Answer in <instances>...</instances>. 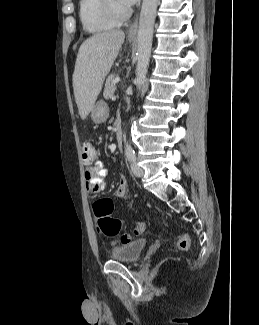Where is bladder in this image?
<instances>
[{
	"mask_svg": "<svg viewBox=\"0 0 259 325\" xmlns=\"http://www.w3.org/2000/svg\"><path fill=\"white\" fill-rule=\"evenodd\" d=\"M146 239H137L117 246L110 251V257L114 260L134 263L138 261L147 246Z\"/></svg>",
	"mask_w": 259,
	"mask_h": 325,
	"instance_id": "bladder-1",
	"label": "bladder"
}]
</instances>
